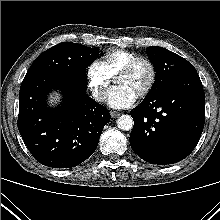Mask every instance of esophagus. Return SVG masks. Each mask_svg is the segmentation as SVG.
<instances>
[{
	"label": "esophagus",
	"mask_w": 220,
	"mask_h": 220,
	"mask_svg": "<svg viewBox=\"0 0 220 220\" xmlns=\"http://www.w3.org/2000/svg\"><path fill=\"white\" fill-rule=\"evenodd\" d=\"M110 113H111L112 118H116V117L120 116V112H117V111H111Z\"/></svg>",
	"instance_id": "obj_1"
}]
</instances>
